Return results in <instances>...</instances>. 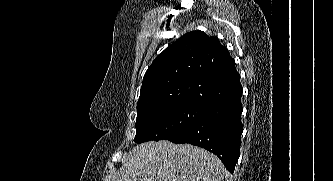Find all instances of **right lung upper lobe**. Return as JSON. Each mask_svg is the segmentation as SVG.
Wrapping results in <instances>:
<instances>
[{
	"label": "right lung upper lobe",
	"instance_id": "obj_1",
	"mask_svg": "<svg viewBox=\"0 0 333 181\" xmlns=\"http://www.w3.org/2000/svg\"><path fill=\"white\" fill-rule=\"evenodd\" d=\"M242 92L235 61L217 38L191 31L160 53L147 69L137 111L163 104L203 107Z\"/></svg>",
	"mask_w": 333,
	"mask_h": 181
}]
</instances>
